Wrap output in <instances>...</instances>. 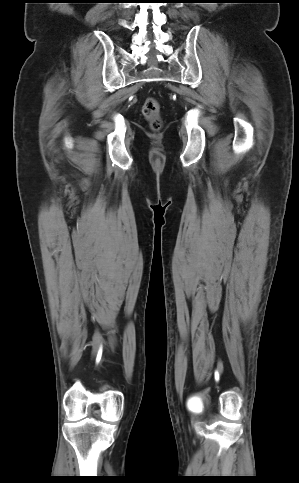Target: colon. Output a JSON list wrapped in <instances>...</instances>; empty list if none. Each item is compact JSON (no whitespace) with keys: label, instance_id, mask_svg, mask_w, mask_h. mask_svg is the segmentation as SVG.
Masks as SVG:
<instances>
[{"label":"colon","instance_id":"1","mask_svg":"<svg viewBox=\"0 0 299 483\" xmlns=\"http://www.w3.org/2000/svg\"><path fill=\"white\" fill-rule=\"evenodd\" d=\"M143 115L150 122L153 130H159L162 125L160 106L156 98L147 97L142 108Z\"/></svg>","mask_w":299,"mask_h":483}]
</instances>
